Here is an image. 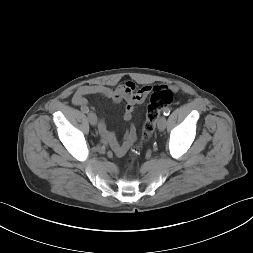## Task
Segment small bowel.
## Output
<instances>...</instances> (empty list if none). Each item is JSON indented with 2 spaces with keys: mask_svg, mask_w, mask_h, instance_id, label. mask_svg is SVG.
<instances>
[{
  "mask_svg": "<svg viewBox=\"0 0 253 253\" xmlns=\"http://www.w3.org/2000/svg\"><path fill=\"white\" fill-rule=\"evenodd\" d=\"M153 89L154 88L150 85L137 88L132 81H126L116 88L105 85H83L75 91L72 97V103L79 106L81 109L88 108L87 96L89 95H100L116 103L124 100L126 102L124 119L126 121H131L135 107L141 104ZM98 131L102 138L110 144L117 156H123L136 140V128L134 125L129 127L122 143H120L115 134L107 128L103 119L99 120Z\"/></svg>",
  "mask_w": 253,
  "mask_h": 253,
  "instance_id": "obj_1",
  "label": "small bowel"
}]
</instances>
